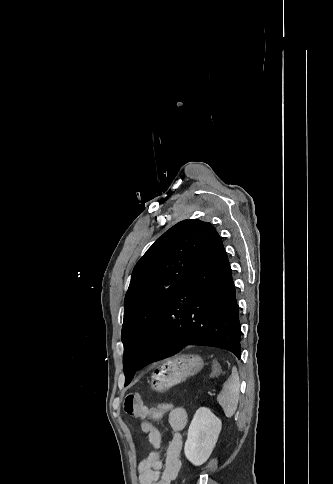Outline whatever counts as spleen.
Wrapping results in <instances>:
<instances>
[{
	"mask_svg": "<svg viewBox=\"0 0 333 484\" xmlns=\"http://www.w3.org/2000/svg\"><path fill=\"white\" fill-rule=\"evenodd\" d=\"M239 376L236 368L232 369V374L223 385V390L217 397L219 405L222 407L225 416L230 418L234 415L239 399Z\"/></svg>",
	"mask_w": 333,
	"mask_h": 484,
	"instance_id": "obj_1",
	"label": "spleen"
}]
</instances>
